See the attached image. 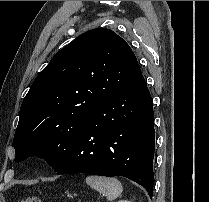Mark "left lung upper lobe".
<instances>
[{
	"label": "left lung upper lobe",
	"mask_w": 209,
	"mask_h": 202,
	"mask_svg": "<svg viewBox=\"0 0 209 202\" xmlns=\"http://www.w3.org/2000/svg\"><path fill=\"white\" fill-rule=\"evenodd\" d=\"M129 45L109 29L85 32L58 51L25 96L13 139L16 162L44 158L58 171L86 116L141 75Z\"/></svg>",
	"instance_id": "1"
}]
</instances>
